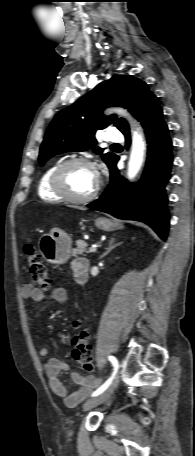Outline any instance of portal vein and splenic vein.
<instances>
[{
	"label": "portal vein and splenic vein",
	"mask_w": 195,
	"mask_h": 456,
	"mask_svg": "<svg viewBox=\"0 0 195 456\" xmlns=\"http://www.w3.org/2000/svg\"><path fill=\"white\" fill-rule=\"evenodd\" d=\"M89 251L91 253H95L97 251V248L96 247H89Z\"/></svg>",
	"instance_id": "obj_1"
}]
</instances>
